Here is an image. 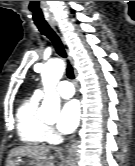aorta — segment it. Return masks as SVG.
Returning a JSON list of instances; mask_svg holds the SVG:
<instances>
[{"label": "aorta", "instance_id": "1", "mask_svg": "<svg viewBox=\"0 0 135 166\" xmlns=\"http://www.w3.org/2000/svg\"><path fill=\"white\" fill-rule=\"evenodd\" d=\"M64 63L60 59L49 61L42 70L41 77L45 90V96L39 109V115L43 117L56 116L60 112V97L55 87L64 73Z\"/></svg>", "mask_w": 135, "mask_h": 166}]
</instances>
